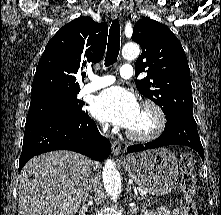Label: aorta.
I'll return each mask as SVG.
<instances>
[{
	"instance_id": "aorta-1",
	"label": "aorta",
	"mask_w": 221,
	"mask_h": 215,
	"mask_svg": "<svg viewBox=\"0 0 221 215\" xmlns=\"http://www.w3.org/2000/svg\"><path fill=\"white\" fill-rule=\"evenodd\" d=\"M140 55V47L136 43H127L122 48V56L126 60H134ZM102 178L106 192L116 200L121 193V177L112 159H107L103 167Z\"/></svg>"
}]
</instances>
